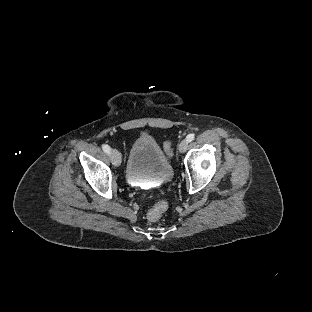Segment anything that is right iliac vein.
Returning a JSON list of instances; mask_svg holds the SVG:
<instances>
[{
	"mask_svg": "<svg viewBox=\"0 0 312 312\" xmlns=\"http://www.w3.org/2000/svg\"><path fill=\"white\" fill-rule=\"evenodd\" d=\"M111 162L114 166H119L121 164V156L118 150L112 149L110 151Z\"/></svg>",
	"mask_w": 312,
	"mask_h": 312,
	"instance_id": "63e3f726",
	"label": "right iliac vein"
}]
</instances>
